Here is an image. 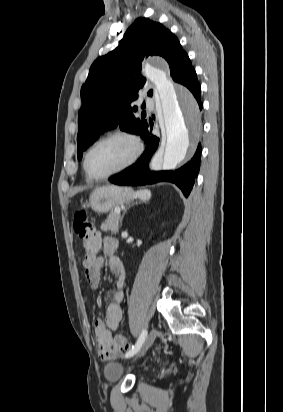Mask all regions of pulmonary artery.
<instances>
[{"label":"pulmonary artery","instance_id":"pulmonary-artery-1","mask_svg":"<svg viewBox=\"0 0 283 412\" xmlns=\"http://www.w3.org/2000/svg\"><path fill=\"white\" fill-rule=\"evenodd\" d=\"M142 101L146 104V105H151V99L150 98H147V97H143L142 98Z\"/></svg>","mask_w":283,"mask_h":412}]
</instances>
